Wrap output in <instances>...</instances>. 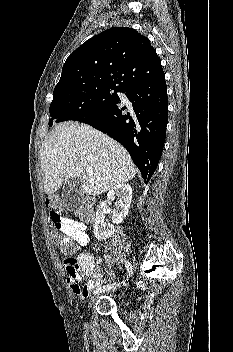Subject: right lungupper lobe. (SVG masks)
Listing matches in <instances>:
<instances>
[{"label": "right lung upper lobe", "mask_w": 233, "mask_h": 352, "mask_svg": "<svg viewBox=\"0 0 233 352\" xmlns=\"http://www.w3.org/2000/svg\"><path fill=\"white\" fill-rule=\"evenodd\" d=\"M164 74L147 37L127 27H114L90 38L63 65L54 94L88 86L124 89Z\"/></svg>", "instance_id": "obj_1"}]
</instances>
